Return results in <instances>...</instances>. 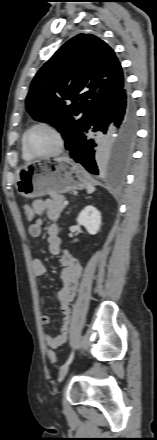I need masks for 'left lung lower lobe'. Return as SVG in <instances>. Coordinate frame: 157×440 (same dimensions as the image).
<instances>
[{
  "label": "left lung lower lobe",
  "mask_w": 157,
  "mask_h": 440,
  "mask_svg": "<svg viewBox=\"0 0 157 440\" xmlns=\"http://www.w3.org/2000/svg\"><path fill=\"white\" fill-rule=\"evenodd\" d=\"M136 127L134 102L124 86L92 111L67 150L94 175L120 174L130 158Z\"/></svg>",
  "instance_id": "obj_1"
}]
</instances>
